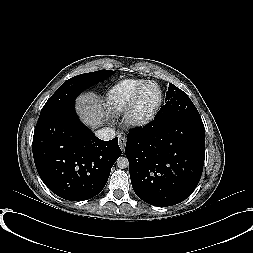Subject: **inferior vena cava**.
I'll return each instance as SVG.
<instances>
[{"label":"inferior vena cava","mask_w":253,"mask_h":253,"mask_svg":"<svg viewBox=\"0 0 253 253\" xmlns=\"http://www.w3.org/2000/svg\"><path fill=\"white\" fill-rule=\"evenodd\" d=\"M96 136L104 141L112 140L115 137V130L111 127H104L96 131Z\"/></svg>","instance_id":"inferior-vena-cava-1"}]
</instances>
